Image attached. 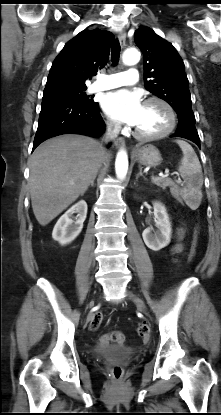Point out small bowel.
I'll return each mask as SVG.
<instances>
[{
    "label": "small bowel",
    "instance_id": "1",
    "mask_svg": "<svg viewBox=\"0 0 221 415\" xmlns=\"http://www.w3.org/2000/svg\"><path fill=\"white\" fill-rule=\"evenodd\" d=\"M183 235H184V228L183 227L178 228L177 233H176V242L171 247L172 253L176 254V253H180L183 251L184 249V245L182 243Z\"/></svg>",
    "mask_w": 221,
    "mask_h": 415
}]
</instances>
